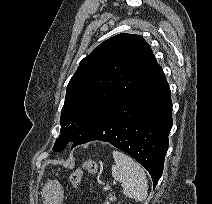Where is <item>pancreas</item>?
Wrapping results in <instances>:
<instances>
[{"mask_svg": "<svg viewBox=\"0 0 212 204\" xmlns=\"http://www.w3.org/2000/svg\"><path fill=\"white\" fill-rule=\"evenodd\" d=\"M108 199L111 200V201H114L116 198H115V196H113V195H109V196L106 198L105 204H109Z\"/></svg>", "mask_w": 212, "mask_h": 204, "instance_id": "pancreas-1", "label": "pancreas"}]
</instances>
